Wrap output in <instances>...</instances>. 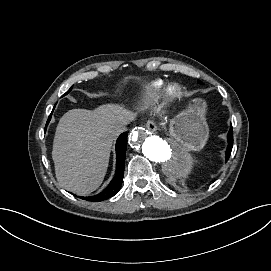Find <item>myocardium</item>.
I'll return each instance as SVG.
<instances>
[{"instance_id":"obj_1","label":"myocardium","mask_w":271,"mask_h":271,"mask_svg":"<svg viewBox=\"0 0 271 271\" xmlns=\"http://www.w3.org/2000/svg\"><path fill=\"white\" fill-rule=\"evenodd\" d=\"M168 96L175 98L182 94V86L179 83H172L167 88Z\"/></svg>"}]
</instances>
